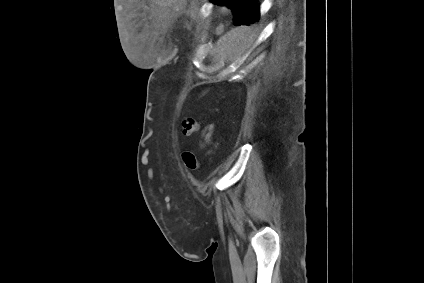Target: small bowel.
I'll use <instances>...</instances> for the list:
<instances>
[{
  "mask_svg": "<svg viewBox=\"0 0 424 283\" xmlns=\"http://www.w3.org/2000/svg\"><path fill=\"white\" fill-rule=\"evenodd\" d=\"M212 126H209L208 129L206 130L205 134H204V138L206 141H209L210 137H211V130H212Z\"/></svg>",
  "mask_w": 424,
  "mask_h": 283,
  "instance_id": "small-bowel-1",
  "label": "small bowel"
}]
</instances>
